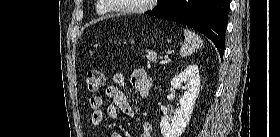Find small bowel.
<instances>
[{"instance_id":"obj_1","label":"small bowel","mask_w":280,"mask_h":137,"mask_svg":"<svg viewBox=\"0 0 280 137\" xmlns=\"http://www.w3.org/2000/svg\"><path fill=\"white\" fill-rule=\"evenodd\" d=\"M126 83L125 75L117 72L113 75L112 84L108 85L105 89V96L111 100L107 107V115L111 119L118 118L120 111L130 117L134 116V112L124 92ZM130 84L139 95L146 96L151 89L152 80L143 69L136 68L130 75ZM103 104L104 99L101 96H92L88 100L90 120L93 125H98L103 121V111L101 109ZM152 131L153 127L150 122L144 121L141 123L140 137H152ZM111 137H120V135L114 133Z\"/></svg>"}]
</instances>
